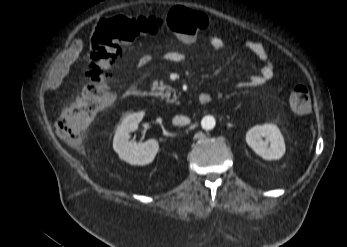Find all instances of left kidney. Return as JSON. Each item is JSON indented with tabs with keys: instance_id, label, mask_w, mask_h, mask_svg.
Listing matches in <instances>:
<instances>
[{
	"instance_id": "left-kidney-1",
	"label": "left kidney",
	"mask_w": 347,
	"mask_h": 247,
	"mask_svg": "<svg viewBox=\"0 0 347 247\" xmlns=\"http://www.w3.org/2000/svg\"><path fill=\"white\" fill-rule=\"evenodd\" d=\"M246 143L265 160H278L285 153L284 138L274 124L265 123L252 127L246 133Z\"/></svg>"
}]
</instances>
